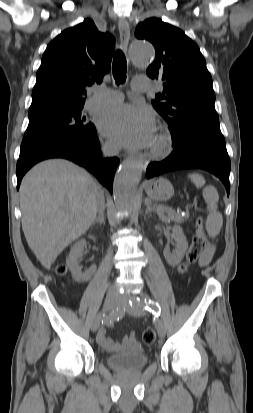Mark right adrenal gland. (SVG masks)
<instances>
[{
    "label": "right adrenal gland",
    "instance_id": "1",
    "mask_svg": "<svg viewBox=\"0 0 253 413\" xmlns=\"http://www.w3.org/2000/svg\"><path fill=\"white\" fill-rule=\"evenodd\" d=\"M104 222V215L101 214L98 218H96L93 224L99 223L100 225Z\"/></svg>",
    "mask_w": 253,
    "mask_h": 413
}]
</instances>
